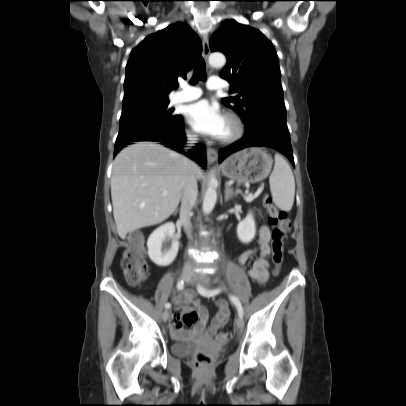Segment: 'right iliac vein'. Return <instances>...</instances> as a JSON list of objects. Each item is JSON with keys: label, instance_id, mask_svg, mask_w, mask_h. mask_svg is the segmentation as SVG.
I'll use <instances>...</instances> for the list:
<instances>
[{"label": "right iliac vein", "instance_id": "63e3f726", "mask_svg": "<svg viewBox=\"0 0 406 406\" xmlns=\"http://www.w3.org/2000/svg\"><path fill=\"white\" fill-rule=\"evenodd\" d=\"M181 278L184 281H189L192 278V269L191 268H184L181 274ZM169 317V312L165 310L162 314L163 321H167Z\"/></svg>", "mask_w": 406, "mask_h": 406}]
</instances>
